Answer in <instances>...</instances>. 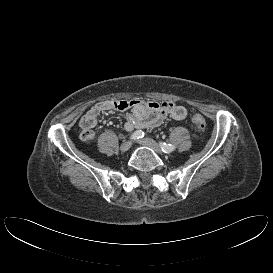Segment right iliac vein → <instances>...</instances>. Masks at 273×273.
<instances>
[{
  "mask_svg": "<svg viewBox=\"0 0 273 273\" xmlns=\"http://www.w3.org/2000/svg\"><path fill=\"white\" fill-rule=\"evenodd\" d=\"M131 146H132V142L131 141H126V142L121 144L120 150L122 152H126L131 148Z\"/></svg>",
  "mask_w": 273,
  "mask_h": 273,
  "instance_id": "right-iliac-vein-1",
  "label": "right iliac vein"
}]
</instances>
